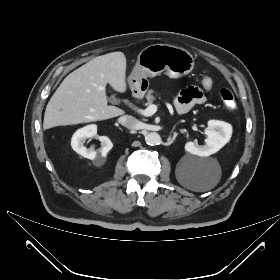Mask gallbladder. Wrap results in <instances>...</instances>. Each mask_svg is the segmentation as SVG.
I'll return each instance as SVG.
<instances>
[{"mask_svg":"<svg viewBox=\"0 0 280 280\" xmlns=\"http://www.w3.org/2000/svg\"><path fill=\"white\" fill-rule=\"evenodd\" d=\"M109 100H110L111 103H116L118 101L117 98L114 95H111Z\"/></svg>","mask_w":280,"mask_h":280,"instance_id":"bac80fb5","label":"gallbladder"}]
</instances>
